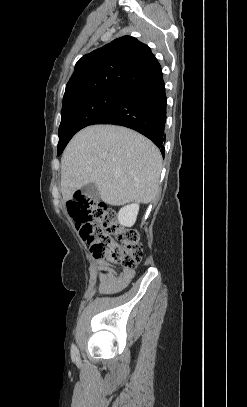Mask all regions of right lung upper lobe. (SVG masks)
I'll use <instances>...</instances> for the list:
<instances>
[{"instance_id":"obj_1","label":"right lung upper lobe","mask_w":247,"mask_h":407,"mask_svg":"<svg viewBox=\"0 0 247 407\" xmlns=\"http://www.w3.org/2000/svg\"><path fill=\"white\" fill-rule=\"evenodd\" d=\"M162 73L151 49L123 36L83 56L67 83L63 105L115 86L136 89Z\"/></svg>"}]
</instances>
